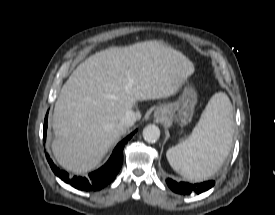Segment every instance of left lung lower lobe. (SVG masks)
I'll list each match as a JSON object with an SVG mask.
<instances>
[{
	"label": "left lung lower lobe",
	"instance_id": "0a47b994",
	"mask_svg": "<svg viewBox=\"0 0 275 215\" xmlns=\"http://www.w3.org/2000/svg\"><path fill=\"white\" fill-rule=\"evenodd\" d=\"M167 185L176 193L179 194H184V195H189L191 193H196L200 194L204 191H207L211 187L214 186L215 182L214 181H206L202 183H195V184H190L187 182H179L177 183L176 181H173L172 179H167L166 180Z\"/></svg>",
	"mask_w": 275,
	"mask_h": 215
}]
</instances>
